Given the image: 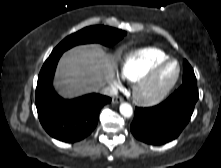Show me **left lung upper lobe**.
Here are the masks:
<instances>
[{
    "instance_id": "1",
    "label": "left lung upper lobe",
    "mask_w": 221,
    "mask_h": 168,
    "mask_svg": "<svg viewBox=\"0 0 221 168\" xmlns=\"http://www.w3.org/2000/svg\"><path fill=\"white\" fill-rule=\"evenodd\" d=\"M191 80L196 81L194 71H193L191 65L186 60H184L183 61V80H182V82L191 81Z\"/></svg>"
}]
</instances>
